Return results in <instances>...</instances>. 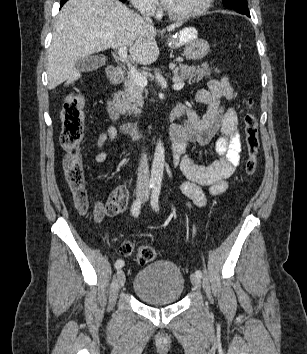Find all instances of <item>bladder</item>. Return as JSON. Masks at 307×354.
Segmentation results:
<instances>
[{
    "instance_id": "obj_1",
    "label": "bladder",
    "mask_w": 307,
    "mask_h": 354,
    "mask_svg": "<svg viewBox=\"0 0 307 354\" xmlns=\"http://www.w3.org/2000/svg\"><path fill=\"white\" fill-rule=\"evenodd\" d=\"M185 279L178 266L158 260L141 268L133 281L134 293L150 305H170L177 302L184 291Z\"/></svg>"
}]
</instances>
